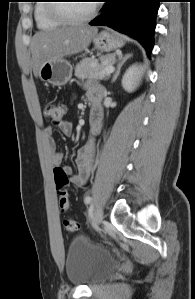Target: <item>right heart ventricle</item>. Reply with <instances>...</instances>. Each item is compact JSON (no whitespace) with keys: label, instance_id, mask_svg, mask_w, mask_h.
I'll return each instance as SVG.
<instances>
[{"label":"right heart ventricle","instance_id":"1","mask_svg":"<svg viewBox=\"0 0 195 299\" xmlns=\"http://www.w3.org/2000/svg\"><path fill=\"white\" fill-rule=\"evenodd\" d=\"M49 0H38L34 7V20L39 29H54L64 23L54 19L49 13Z\"/></svg>","mask_w":195,"mask_h":299}]
</instances>
